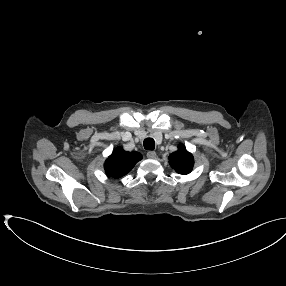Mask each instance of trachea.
Returning <instances> with one entry per match:
<instances>
[{
	"label": "trachea",
	"instance_id": "1",
	"mask_svg": "<svg viewBox=\"0 0 286 286\" xmlns=\"http://www.w3.org/2000/svg\"><path fill=\"white\" fill-rule=\"evenodd\" d=\"M144 148L146 150H154L155 149V141L153 138H146L143 142Z\"/></svg>",
	"mask_w": 286,
	"mask_h": 286
}]
</instances>
